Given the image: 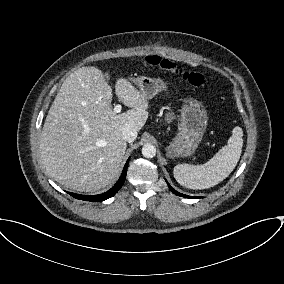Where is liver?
Wrapping results in <instances>:
<instances>
[{"label": "liver", "mask_w": 284, "mask_h": 284, "mask_svg": "<svg viewBox=\"0 0 284 284\" xmlns=\"http://www.w3.org/2000/svg\"><path fill=\"white\" fill-rule=\"evenodd\" d=\"M115 93L130 110L114 114L112 88L96 67H81L63 82L39 141L42 162L55 181L73 190L96 192L118 179L127 147L122 130H141L149 104L125 78L117 79Z\"/></svg>", "instance_id": "liver-1"}]
</instances>
